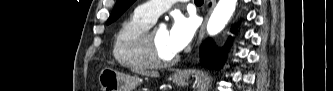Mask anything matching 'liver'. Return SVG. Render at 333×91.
<instances>
[{"label": "liver", "mask_w": 333, "mask_h": 91, "mask_svg": "<svg viewBox=\"0 0 333 91\" xmlns=\"http://www.w3.org/2000/svg\"><path fill=\"white\" fill-rule=\"evenodd\" d=\"M138 73L141 74V75H143V76H150V77H155V78L159 77V73L158 72H147V71L141 70Z\"/></svg>", "instance_id": "obj_1"}]
</instances>
